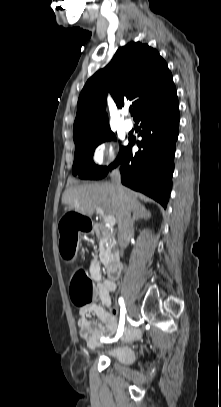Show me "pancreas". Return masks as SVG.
<instances>
[{
    "instance_id": "pancreas-1",
    "label": "pancreas",
    "mask_w": 221,
    "mask_h": 407,
    "mask_svg": "<svg viewBox=\"0 0 221 407\" xmlns=\"http://www.w3.org/2000/svg\"><path fill=\"white\" fill-rule=\"evenodd\" d=\"M100 260L108 266L112 258V250L114 249V234L107 228H104L100 236Z\"/></svg>"
}]
</instances>
